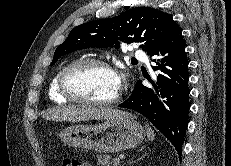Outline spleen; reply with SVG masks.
Wrapping results in <instances>:
<instances>
[{
  "mask_svg": "<svg viewBox=\"0 0 231 166\" xmlns=\"http://www.w3.org/2000/svg\"><path fill=\"white\" fill-rule=\"evenodd\" d=\"M146 129H147V137H148V139L151 140V141H153L154 138H155L154 131L152 130L151 127H149L148 124L146 125Z\"/></svg>",
  "mask_w": 231,
  "mask_h": 166,
  "instance_id": "3e777b00",
  "label": "spleen"
}]
</instances>
